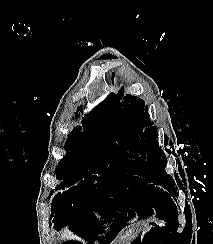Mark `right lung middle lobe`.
<instances>
[{"mask_svg":"<svg viewBox=\"0 0 213 244\" xmlns=\"http://www.w3.org/2000/svg\"><path fill=\"white\" fill-rule=\"evenodd\" d=\"M68 136L66 156L55 170L56 177L63 179L66 186L82 179L90 170L118 171L125 162L119 154L120 145L112 139L107 116L86 115L82 126L75 127Z\"/></svg>","mask_w":213,"mask_h":244,"instance_id":"1","label":"right lung middle lobe"}]
</instances>
